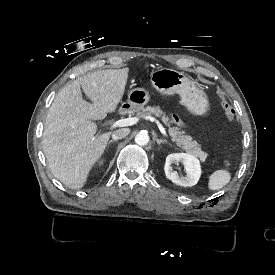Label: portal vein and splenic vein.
<instances>
[{
    "instance_id": "portal-vein-and-splenic-vein-1",
    "label": "portal vein and splenic vein",
    "mask_w": 275,
    "mask_h": 275,
    "mask_svg": "<svg viewBox=\"0 0 275 275\" xmlns=\"http://www.w3.org/2000/svg\"><path fill=\"white\" fill-rule=\"evenodd\" d=\"M145 119L150 120L151 122H155L157 124L160 132L164 135H167L165 128L158 120H156V118H154L152 116H146ZM138 121H139V119L137 117H129V118H125V119H120L113 123L112 128L132 126V125L136 124Z\"/></svg>"
}]
</instances>
